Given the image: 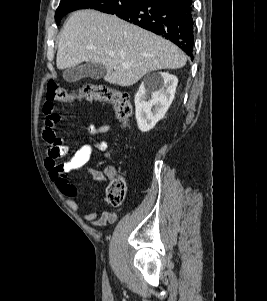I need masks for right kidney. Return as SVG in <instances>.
<instances>
[{"label":"right kidney","instance_id":"obj_1","mask_svg":"<svg viewBox=\"0 0 267 301\" xmlns=\"http://www.w3.org/2000/svg\"><path fill=\"white\" fill-rule=\"evenodd\" d=\"M177 84L178 78L175 75L160 72L152 81H145L140 85L134 100L135 116L140 131L151 130L164 117L174 99ZM149 93L151 99L147 101Z\"/></svg>","mask_w":267,"mask_h":301}]
</instances>
